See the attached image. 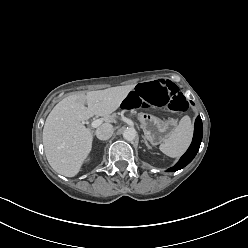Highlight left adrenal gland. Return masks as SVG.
<instances>
[{
    "label": "left adrenal gland",
    "instance_id": "left-adrenal-gland-1",
    "mask_svg": "<svg viewBox=\"0 0 248 248\" xmlns=\"http://www.w3.org/2000/svg\"><path fill=\"white\" fill-rule=\"evenodd\" d=\"M143 138H144V142H145L146 146H147L148 148H151L150 145L148 144V142L146 141L145 137H143Z\"/></svg>",
    "mask_w": 248,
    "mask_h": 248
}]
</instances>
